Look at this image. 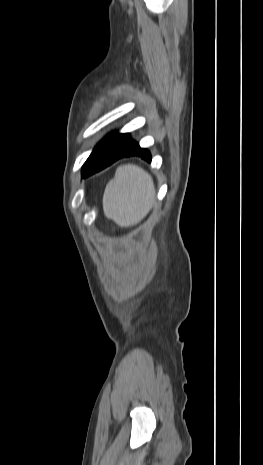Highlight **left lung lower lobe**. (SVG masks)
<instances>
[{"mask_svg":"<svg viewBox=\"0 0 263 465\" xmlns=\"http://www.w3.org/2000/svg\"><path fill=\"white\" fill-rule=\"evenodd\" d=\"M139 156L150 162L151 154L133 141L129 134L112 133L103 139L93 150L82 168V176L88 177L122 157Z\"/></svg>","mask_w":263,"mask_h":465,"instance_id":"obj_1","label":"left lung lower lobe"}]
</instances>
